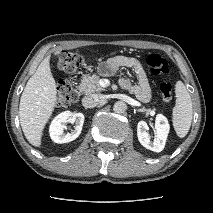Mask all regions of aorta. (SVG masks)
<instances>
[{
	"label": "aorta",
	"instance_id": "obj_1",
	"mask_svg": "<svg viewBox=\"0 0 213 213\" xmlns=\"http://www.w3.org/2000/svg\"><path fill=\"white\" fill-rule=\"evenodd\" d=\"M126 108L127 106L123 101H117L113 106L114 112L118 114L124 113Z\"/></svg>",
	"mask_w": 213,
	"mask_h": 213
}]
</instances>
